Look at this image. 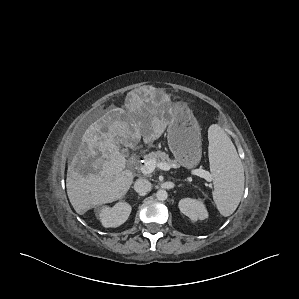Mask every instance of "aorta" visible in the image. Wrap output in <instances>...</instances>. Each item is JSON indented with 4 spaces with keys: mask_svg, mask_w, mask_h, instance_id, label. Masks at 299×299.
I'll list each match as a JSON object with an SVG mask.
<instances>
[{
    "mask_svg": "<svg viewBox=\"0 0 299 299\" xmlns=\"http://www.w3.org/2000/svg\"><path fill=\"white\" fill-rule=\"evenodd\" d=\"M156 197H157V199H158L159 201H164V200L167 199V197H168V193H167L166 190L160 189V190L157 191V193H156Z\"/></svg>",
    "mask_w": 299,
    "mask_h": 299,
    "instance_id": "aorta-1",
    "label": "aorta"
}]
</instances>
